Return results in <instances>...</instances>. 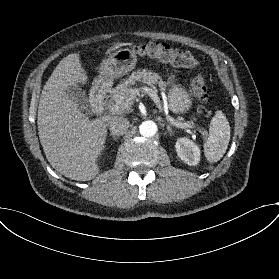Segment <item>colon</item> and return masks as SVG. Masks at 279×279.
Wrapping results in <instances>:
<instances>
[{"label":"colon","instance_id":"obj_1","mask_svg":"<svg viewBox=\"0 0 279 279\" xmlns=\"http://www.w3.org/2000/svg\"><path fill=\"white\" fill-rule=\"evenodd\" d=\"M134 51L143 57L156 58L162 62L182 68H194L197 60L189 52L181 51L167 44L146 41L133 46ZM191 92L202 103L209 99L207 81L201 73L195 74L191 79Z\"/></svg>","mask_w":279,"mask_h":279}]
</instances>
